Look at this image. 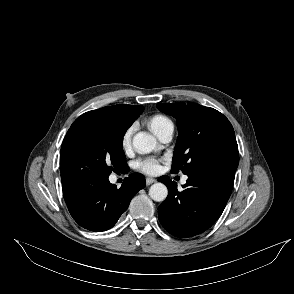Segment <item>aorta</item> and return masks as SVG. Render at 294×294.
I'll return each mask as SVG.
<instances>
[{
  "label": "aorta",
  "instance_id": "obj_1",
  "mask_svg": "<svg viewBox=\"0 0 294 294\" xmlns=\"http://www.w3.org/2000/svg\"><path fill=\"white\" fill-rule=\"evenodd\" d=\"M156 139L149 133L138 132L133 137V146L141 154L151 152L156 147ZM150 197L156 202H162L167 198L168 189L163 183H155L149 189Z\"/></svg>",
  "mask_w": 294,
  "mask_h": 294
}]
</instances>
